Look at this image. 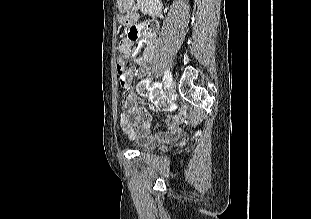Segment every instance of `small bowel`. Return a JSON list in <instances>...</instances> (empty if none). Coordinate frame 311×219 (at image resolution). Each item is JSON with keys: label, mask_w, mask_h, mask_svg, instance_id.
<instances>
[{"label": "small bowel", "mask_w": 311, "mask_h": 219, "mask_svg": "<svg viewBox=\"0 0 311 219\" xmlns=\"http://www.w3.org/2000/svg\"><path fill=\"white\" fill-rule=\"evenodd\" d=\"M145 51L143 56L138 60L140 65L139 73V92L130 91L125 98L124 107L120 115V125L125 134L131 139L140 140L147 143H154L159 140H165L178 134L179 128L176 126L174 119L170 116L166 118L167 128L155 134H150L151 130V114L146 109L143 100L141 99L140 87L146 81V76L150 70V62L152 61L154 49L156 45L155 38L148 32L144 39ZM118 50L123 55H131L132 41L123 39L119 43ZM127 85L125 89L131 86L133 73L132 71L126 74ZM153 101H157L160 95L155 91L154 86L148 87L146 94Z\"/></svg>", "instance_id": "obj_1"}]
</instances>
